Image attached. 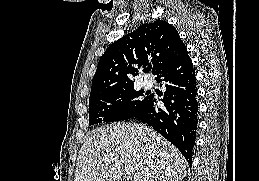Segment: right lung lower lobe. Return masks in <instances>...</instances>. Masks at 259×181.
<instances>
[{"instance_id": "obj_1", "label": "right lung lower lobe", "mask_w": 259, "mask_h": 181, "mask_svg": "<svg viewBox=\"0 0 259 181\" xmlns=\"http://www.w3.org/2000/svg\"><path fill=\"white\" fill-rule=\"evenodd\" d=\"M156 80L163 82L166 88L165 97L161 99L164 106L158 107L157 99L150 95L144 107L132 118L153 127L174 144L191 165L198 103L195 72L188 53H184L162 70Z\"/></svg>"}]
</instances>
